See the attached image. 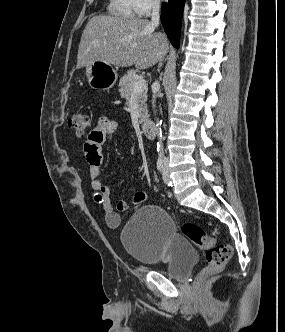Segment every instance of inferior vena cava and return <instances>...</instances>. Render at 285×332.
I'll use <instances>...</instances> for the list:
<instances>
[{
    "instance_id": "obj_1",
    "label": "inferior vena cava",
    "mask_w": 285,
    "mask_h": 332,
    "mask_svg": "<svg viewBox=\"0 0 285 332\" xmlns=\"http://www.w3.org/2000/svg\"><path fill=\"white\" fill-rule=\"evenodd\" d=\"M160 0H152V15H151V24L154 26V27H157L160 23ZM165 55V52L163 53V55L161 56L160 58V62L162 61V57ZM161 65V63L159 64ZM159 86V83L156 81L153 83L152 85V90L157 88ZM155 99H156V96L155 94L153 95V99H152V104L153 106L154 103H155Z\"/></svg>"
}]
</instances>
